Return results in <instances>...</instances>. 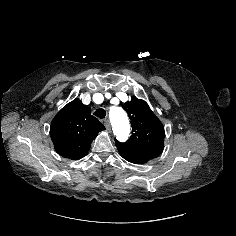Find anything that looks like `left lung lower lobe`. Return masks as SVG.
Returning <instances> with one entry per match:
<instances>
[{
  "label": "left lung lower lobe",
  "instance_id": "left-lung-lower-lobe-1",
  "mask_svg": "<svg viewBox=\"0 0 236 236\" xmlns=\"http://www.w3.org/2000/svg\"><path fill=\"white\" fill-rule=\"evenodd\" d=\"M120 155L128 162L134 164H145L158 157L161 150L135 149L126 146H117Z\"/></svg>",
  "mask_w": 236,
  "mask_h": 236
}]
</instances>
